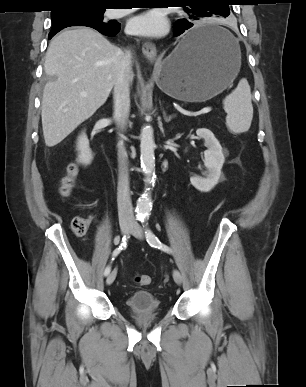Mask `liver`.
<instances>
[{"instance_id": "liver-1", "label": "liver", "mask_w": 306, "mask_h": 387, "mask_svg": "<svg viewBox=\"0 0 306 387\" xmlns=\"http://www.w3.org/2000/svg\"><path fill=\"white\" fill-rule=\"evenodd\" d=\"M123 55L101 33L86 27L65 30L51 40L44 70L52 79L41 105L46 146L59 144L106 102Z\"/></svg>"}]
</instances>
